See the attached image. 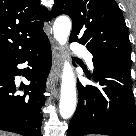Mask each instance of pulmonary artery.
<instances>
[{
	"label": "pulmonary artery",
	"instance_id": "pulmonary-artery-1",
	"mask_svg": "<svg viewBox=\"0 0 136 136\" xmlns=\"http://www.w3.org/2000/svg\"><path fill=\"white\" fill-rule=\"evenodd\" d=\"M71 49L73 52L83 55L89 66L93 67V55L83 45L79 43H73L71 45Z\"/></svg>",
	"mask_w": 136,
	"mask_h": 136
}]
</instances>
